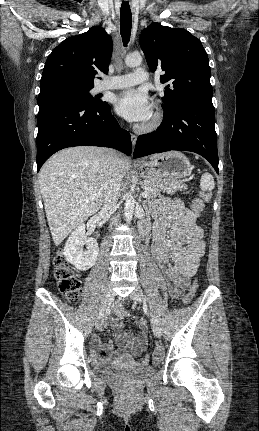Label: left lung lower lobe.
<instances>
[{
	"label": "left lung lower lobe",
	"mask_w": 259,
	"mask_h": 431,
	"mask_svg": "<svg viewBox=\"0 0 259 431\" xmlns=\"http://www.w3.org/2000/svg\"><path fill=\"white\" fill-rule=\"evenodd\" d=\"M214 108L179 104L164 111L156 132L138 137L134 158L169 150L191 151L207 159L218 173Z\"/></svg>",
	"instance_id": "0a47b994"
}]
</instances>
